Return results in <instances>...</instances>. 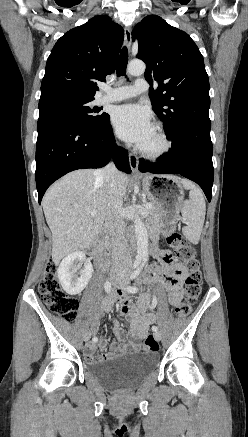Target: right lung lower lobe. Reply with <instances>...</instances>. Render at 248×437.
Wrapping results in <instances>:
<instances>
[{
  "instance_id": "right-lung-lower-lobe-1",
  "label": "right lung lower lobe",
  "mask_w": 248,
  "mask_h": 437,
  "mask_svg": "<svg viewBox=\"0 0 248 437\" xmlns=\"http://www.w3.org/2000/svg\"><path fill=\"white\" fill-rule=\"evenodd\" d=\"M37 126L35 178L39 203L61 176L77 169L101 168L111 156L119 170L131 173L128 152L115 145L110 120L85 126L69 117L45 114L39 116Z\"/></svg>"
}]
</instances>
